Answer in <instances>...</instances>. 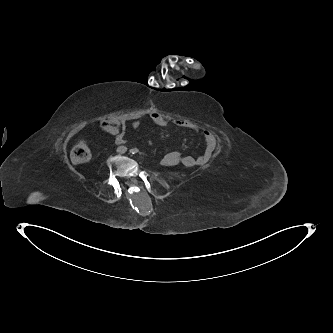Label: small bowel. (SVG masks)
<instances>
[{"label": "small bowel", "instance_id": "obj_1", "mask_svg": "<svg viewBox=\"0 0 333 333\" xmlns=\"http://www.w3.org/2000/svg\"><path fill=\"white\" fill-rule=\"evenodd\" d=\"M149 118L158 126L164 127L170 124H174L178 127L200 132V128L188 120H171L158 112L150 113ZM141 119L142 115L137 113L122 115L101 121L99 123V127L103 132L115 136V140L118 144H124L127 141L126 131L128 127L131 129H137L140 126ZM202 135L205 141V148L200 155L193 157L189 155H182L179 152L181 157H179L177 160L168 161L166 164L161 162V164L164 166L183 165L187 168H194L205 165L212 157L216 146V137L210 130H204Z\"/></svg>", "mask_w": 333, "mask_h": 333}]
</instances>
